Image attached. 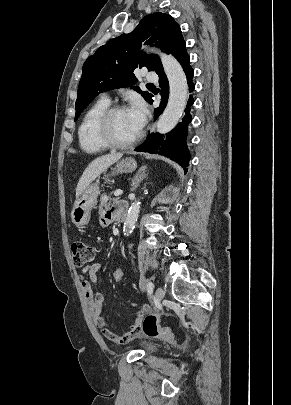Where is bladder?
Wrapping results in <instances>:
<instances>
[{
  "instance_id": "obj_1",
  "label": "bladder",
  "mask_w": 291,
  "mask_h": 405,
  "mask_svg": "<svg viewBox=\"0 0 291 405\" xmlns=\"http://www.w3.org/2000/svg\"><path fill=\"white\" fill-rule=\"evenodd\" d=\"M143 349L148 354H153L158 351V346L152 341H143L142 342Z\"/></svg>"
}]
</instances>
